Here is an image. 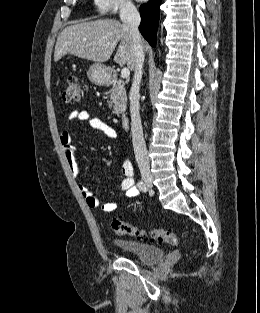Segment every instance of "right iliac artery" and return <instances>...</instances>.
Listing matches in <instances>:
<instances>
[{
    "label": "right iliac artery",
    "mask_w": 260,
    "mask_h": 313,
    "mask_svg": "<svg viewBox=\"0 0 260 313\" xmlns=\"http://www.w3.org/2000/svg\"><path fill=\"white\" fill-rule=\"evenodd\" d=\"M137 186L139 187V189L143 192H146L147 188L145 186V184L143 183V181H139Z\"/></svg>",
    "instance_id": "right-iliac-artery-1"
}]
</instances>
